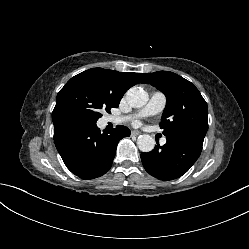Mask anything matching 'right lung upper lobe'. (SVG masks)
<instances>
[{"label":"right lung upper lobe","mask_w":249,"mask_h":249,"mask_svg":"<svg viewBox=\"0 0 249 249\" xmlns=\"http://www.w3.org/2000/svg\"><path fill=\"white\" fill-rule=\"evenodd\" d=\"M82 77L90 79L98 87L106 91L114 100L120 102L124 93L130 87L144 82L145 74L92 68L74 76V78Z\"/></svg>","instance_id":"cb5924a9"}]
</instances>
